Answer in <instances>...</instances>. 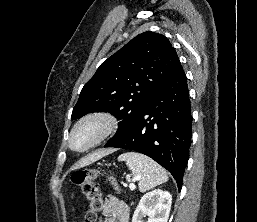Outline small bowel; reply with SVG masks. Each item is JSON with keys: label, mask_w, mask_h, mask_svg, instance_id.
Wrapping results in <instances>:
<instances>
[{"label": "small bowel", "mask_w": 257, "mask_h": 222, "mask_svg": "<svg viewBox=\"0 0 257 222\" xmlns=\"http://www.w3.org/2000/svg\"><path fill=\"white\" fill-rule=\"evenodd\" d=\"M102 213L103 222H129V208L115 196L108 195L105 198Z\"/></svg>", "instance_id": "obj_1"}]
</instances>
